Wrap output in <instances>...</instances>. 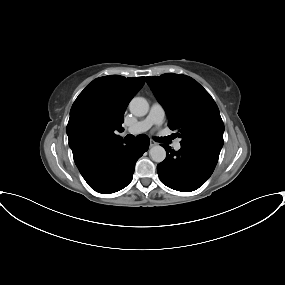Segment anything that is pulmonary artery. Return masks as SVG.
Here are the masks:
<instances>
[{
  "label": "pulmonary artery",
  "instance_id": "e3ab8cb5",
  "mask_svg": "<svg viewBox=\"0 0 285 285\" xmlns=\"http://www.w3.org/2000/svg\"><path fill=\"white\" fill-rule=\"evenodd\" d=\"M165 111L159 103H153L148 115L138 121L133 126L127 128L124 134L137 135L150 129L153 125H161L164 121ZM174 149L179 150L181 148V140L177 139L173 144Z\"/></svg>",
  "mask_w": 285,
  "mask_h": 285
}]
</instances>
